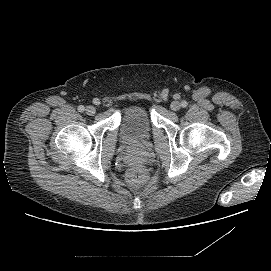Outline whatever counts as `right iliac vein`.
Wrapping results in <instances>:
<instances>
[{
	"label": "right iliac vein",
	"instance_id": "obj_1",
	"mask_svg": "<svg viewBox=\"0 0 271 271\" xmlns=\"http://www.w3.org/2000/svg\"><path fill=\"white\" fill-rule=\"evenodd\" d=\"M85 111L88 115H94L96 112V109L93 106H87Z\"/></svg>",
	"mask_w": 271,
	"mask_h": 271
}]
</instances>
